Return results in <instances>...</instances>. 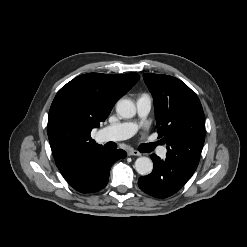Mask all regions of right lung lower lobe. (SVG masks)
I'll return each mask as SVG.
<instances>
[{
    "instance_id": "98d812e1",
    "label": "right lung lower lobe",
    "mask_w": 247,
    "mask_h": 247,
    "mask_svg": "<svg viewBox=\"0 0 247 247\" xmlns=\"http://www.w3.org/2000/svg\"><path fill=\"white\" fill-rule=\"evenodd\" d=\"M125 157L126 153L121 149L115 151L101 150L79 162L75 171L65 180L74 189L82 193L99 191L108 183L112 164Z\"/></svg>"
}]
</instances>
